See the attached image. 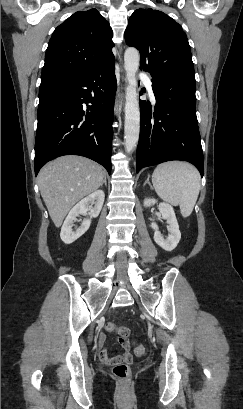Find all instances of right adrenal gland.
I'll use <instances>...</instances> for the list:
<instances>
[{
	"label": "right adrenal gland",
	"mask_w": 243,
	"mask_h": 409,
	"mask_svg": "<svg viewBox=\"0 0 243 409\" xmlns=\"http://www.w3.org/2000/svg\"><path fill=\"white\" fill-rule=\"evenodd\" d=\"M103 184H104L105 186H107L106 176H104V179H103V183H102V185H103ZM102 185H101V186H102Z\"/></svg>",
	"instance_id": "1"
}]
</instances>
